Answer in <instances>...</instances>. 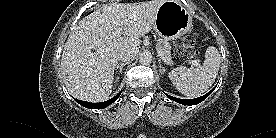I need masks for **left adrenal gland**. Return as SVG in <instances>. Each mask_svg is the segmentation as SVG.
<instances>
[{
  "instance_id": "left-adrenal-gland-1",
  "label": "left adrenal gland",
  "mask_w": 276,
  "mask_h": 138,
  "mask_svg": "<svg viewBox=\"0 0 276 138\" xmlns=\"http://www.w3.org/2000/svg\"><path fill=\"white\" fill-rule=\"evenodd\" d=\"M158 62H159V73L161 74L162 69H163V71H165V68L162 66V63H161L160 59H158Z\"/></svg>"
}]
</instances>
